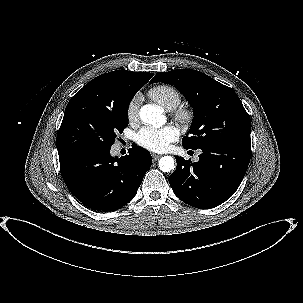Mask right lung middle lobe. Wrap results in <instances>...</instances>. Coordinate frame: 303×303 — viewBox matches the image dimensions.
Wrapping results in <instances>:
<instances>
[{
  "label": "right lung middle lobe",
  "instance_id": "right-lung-middle-lobe-1",
  "mask_svg": "<svg viewBox=\"0 0 303 303\" xmlns=\"http://www.w3.org/2000/svg\"><path fill=\"white\" fill-rule=\"evenodd\" d=\"M139 89L130 94L125 106L117 108L87 99L70 100L57 133L58 155L110 149L128 125V106Z\"/></svg>",
  "mask_w": 303,
  "mask_h": 303
}]
</instances>
